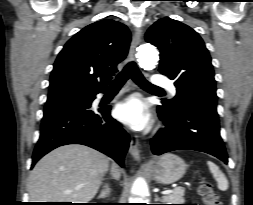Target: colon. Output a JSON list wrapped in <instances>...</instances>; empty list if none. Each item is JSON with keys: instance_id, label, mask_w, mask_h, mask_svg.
I'll return each instance as SVG.
<instances>
[{"instance_id": "5ec220e1", "label": "colon", "mask_w": 253, "mask_h": 205, "mask_svg": "<svg viewBox=\"0 0 253 205\" xmlns=\"http://www.w3.org/2000/svg\"><path fill=\"white\" fill-rule=\"evenodd\" d=\"M198 193L204 205H221L218 195L210 183H202Z\"/></svg>"}]
</instances>
